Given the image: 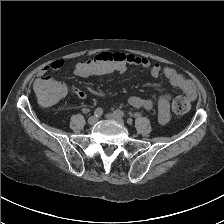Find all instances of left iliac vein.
Wrapping results in <instances>:
<instances>
[{
  "label": "left iliac vein",
  "instance_id": "obj_1",
  "mask_svg": "<svg viewBox=\"0 0 224 224\" xmlns=\"http://www.w3.org/2000/svg\"><path fill=\"white\" fill-rule=\"evenodd\" d=\"M106 118L109 120H113L121 125H124V120L120 116L116 115L115 113L106 114Z\"/></svg>",
  "mask_w": 224,
  "mask_h": 224
}]
</instances>
